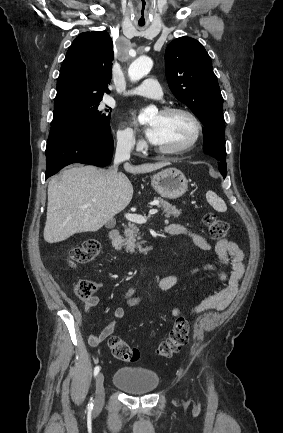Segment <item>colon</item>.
I'll use <instances>...</instances> for the list:
<instances>
[{"mask_svg": "<svg viewBox=\"0 0 283 433\" xmlns=\"http://www.w3.org/2000/svg\"><path fill=\"white\" fill-rule=\"evenodd\" d=\"M204 224L210 237L215 240L225 238L230 231L229 224L211 212L204 216ZM100 250L101 244L97 239H88L71 250L69 262L72 266L86 264L94 260L99 255ZM95 290V283L89 280H81L75 287V293L80 299L89 298ZM188 338V320L183 316H179L176 318L168 338L159 344L157 353L160 356L169 357L179 351L188 342ZM109 348L112 355L121 361H137L140 357L137 348L132 347L117 336L110 338Z\"/></svg>", "mask_w": 283, "mask_h": 433, "instance_id": "obj_1", "label": "colon"}]
</instances>
